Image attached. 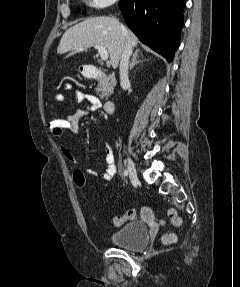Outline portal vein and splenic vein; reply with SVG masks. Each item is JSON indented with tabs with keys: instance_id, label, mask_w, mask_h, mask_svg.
Masks as SVG:
<instances>
[{
	"instance_id": "1",
	"label": "portal vein and splenic vein",
	"mask_w": 240,
	"mask_h": 287,
	"mask_svg": "<svg viewBox=\"0 0 240 287\" xmlns=\"http://www.w3.org/2000/svg\"><path fill=\"white\" fill-rule=\"evenodd\" d=\"M94 48L98 50V53H99V55L103 61L108 60V52H107L105 47H103L101 45H95ZM84 49H86V48L81 47V48H78V51H83Z\"/></svg>"
}]
</instances>
